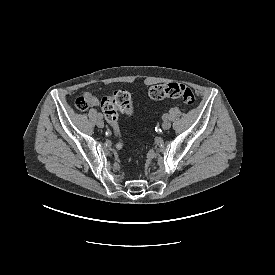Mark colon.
Returning a JSON list of instances; mask_svg holds the SVG:
<instances>
[{"label": "colon", "mask_w": 275, "mask_h": 275, "mask_svg": "<svg viewBox=\"0 0 275 275\" xmlns=\"http://www.w3.org/2000/svg\"><path fill=\"white\" fill-rule=\"evenodd\" d=\"M148 95L151 99L161 100L165 98H181L187 105H192L195 96L192 89L185 84L178 82L161 83L152 86ZM77 108L84 111L88 108V100L81 97L76 101ZM100 108L103 116L110 125L112 135L118 140L116 147L122 149L123 143L120 141V135L117 127L118 113L122 112L128 117L134 114V105L132 98L126 90H118L111 97H105L101 100Z\"/></svg>", "instance_id": "colon-1"}]
</instances>
